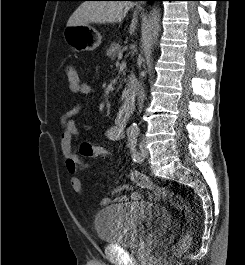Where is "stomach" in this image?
Here are the masks:
<instances>
[{
    "label": "stomach",
    "mask_w": 245,
    "mask_h": 265,
    "mask_svg": "<svg viewBox=\"0 0 245 265\" xmlns=\"http://www.w3.org/2000/svg\"><path fill=\"white\" fill-rule=\"evenodd\" d=\"M63 37L74 52L93 51L99 47L102 39L100 33L89 25L67 26Z\"/></svg>",
    "instance_id": "obj_1"
}]
</instances>
